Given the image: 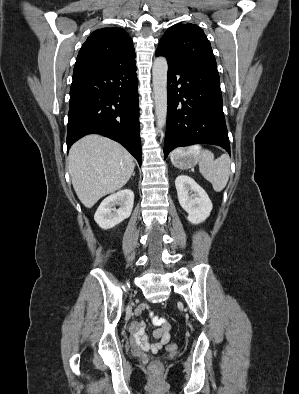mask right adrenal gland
<instances>
[{"mask_svg": "<svg viewBox=\"0 0 299 394\" xmlns=\"http://www.w3.org/2000/svg\"><path fill=\"white\" fill-rule=\"evenodd\" d=\"M134 175H135V172L132 174V176L134 177Z\"/></svg>", "mask_w": 299, "mask_h": 394, "instance_id": "obj_1", "label": "right adrenal gland"}]
</instances>
